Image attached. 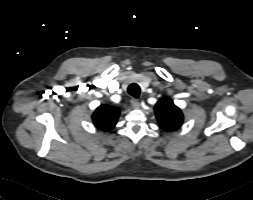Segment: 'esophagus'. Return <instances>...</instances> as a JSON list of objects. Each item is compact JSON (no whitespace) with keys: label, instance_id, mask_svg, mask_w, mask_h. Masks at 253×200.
I'll list each match as a JSON object with an SVG mask.
<instances>
[{"label":"esophagus","instance_id":"34e87169","mask_svg":"<svg viewBox=\"0 0 253 200\" xmlns=\"http://www.w3.org/2000/svg\"><path fill=\"white\" fill-rule=\"evenodd\" d=\"M130 103H131L132 107L135 109H138L140 107V102L135 98H132L130 100Z\"/></svg>","mask_w":253,"mask_h":200}]
</instances>
